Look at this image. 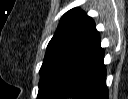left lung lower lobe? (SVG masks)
Returning a JSON list of instances; mask_svg holds the SVG:
<instances>
[{"mask_svg":"<svg viewBox=\"0 0 128 99\" xmlns=\"http://www.w3.org/2000/svg\"><path fill=\"white\" fill-rule=\"evenodd\" d=\"M103 58L104 51L96 31L57 70L42 99H108Z\"/></svg>","mask_w":128,"mask_h":99,"instance_id":"obj_1","label":"left lung lower lobe"}]
</instances>
